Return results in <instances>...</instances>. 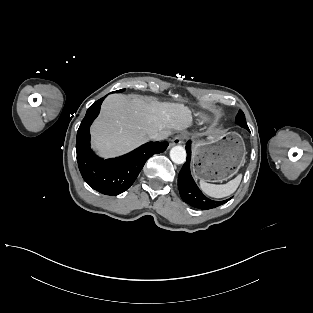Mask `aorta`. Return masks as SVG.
<instances>
[{"mask_svg": "<svg viewBox=\"0 0 313 313\" xmlns=\"http://www.w3.org/2000/svg\"><path fill=\"white\" fill-rule=\"evenodd\" d=\"M170 158L175 164H183L186 161V150L182 146H174L170 150Z\"/></svg>", "mask_w": 313, "mask_h": 313, "instance_id": "762f6f07", "label": "aorta"}]
</instances>
